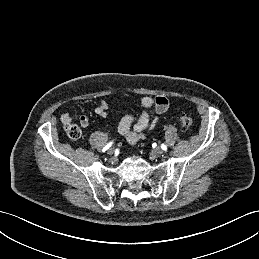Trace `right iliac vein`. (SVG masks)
I'll list each match as a JSON object with an SVG mask.
<instances>
[{
    "label": "right iliac vein",
    "mask_w": 259,
    "mask_h": 259,
    "mask_svg": "<svg viewBox=\"0 0 259 259\" xmlns=\"http://www.w3.org/2000/svg\"><path fill=\"white\" fill-rule=\"evenodd\" d=\"M107 153L109 155L113 156L114 155V149L113 148H109Z\"/></svg>",
    "instance_id": "obj_1"
}]
</instances>
